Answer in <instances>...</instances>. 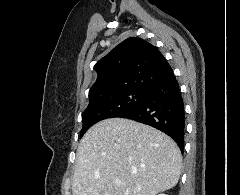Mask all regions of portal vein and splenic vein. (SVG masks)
I'll return each mask as SVG.
<instances>
[{
  "mask_svg": "<svg viewBox=\"0 0 240 195\" xmlns=\"http://www.w3.org/2000/svg\"><path fill=\"white\" fill-rule=\"evenodd\" d=\"M116 185H122L121 181H116Z\"/></svg>",
  "mask_w": 240,
  "mask_h": 195,
  "instance_id": "portal-vein-and-splenic-vein-1",
  "label": "portal vein and splenic vein"
}]
</instances>
